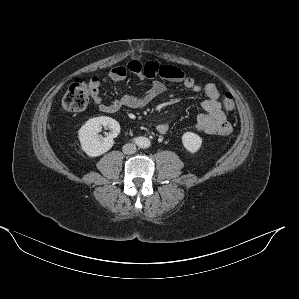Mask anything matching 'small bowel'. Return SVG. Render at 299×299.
Instances as JSON below:
<instances>
[{"mask_svg": "<svg viewBox=\"0 0 299 299\" xmlns=\"http://www.w3.org/2000/svg\"><path fill=\"white\" fill-rule=\"evenodd\" d=\"M129 74L139 79L150 78L153 79V82L150 88L141 95H124L108 103L104 102L99 90L100 85L111 81H123ZM161 79L181 84L194 93H203L206 96V99L202 102L204 112L200 113L196 120L195 127L198 131L207 135H226L231 132V126L222 110L221 93L215 84L203 85L178 67L162 65L154 61L142 64L138 60H130L126 65L114 67L105 75L94 78L91 83L93 104L105 113H114L123 107L129 109L141 108L165 91L166 87ZM157 131L159 134L165 135L169 131V125L167 123L159 124Z\"/></svg>", "mask_w": 299, "mask_h": 299, "instance_id": "obj_1", "label": "small bowel"}]
</instances>
